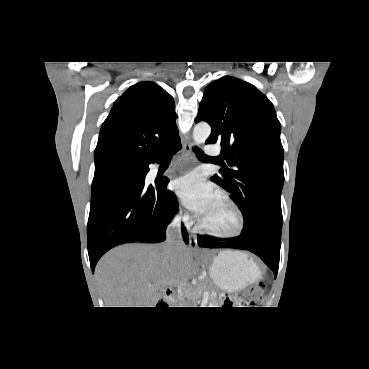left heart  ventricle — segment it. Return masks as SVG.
I'll list each match as a JSON object with an SVG mask.
<instances>
[{
    "mask_svg": "<svg viewBox=\"0 0 369 369\" xmlns=\"http://www.w3.org/2000/svg\"><path fill=\"white\" fill-rule=\"evenodd\" d=\"M201 220L206 226L220 233H229L236 226L233 210L218 197Z\"/></svg>",
    "mask_w": 369,
    "mask_h": 369,
    "instance_id": "b2bd125f",
    "label": "left heart ventricle"
}]
</instances>
